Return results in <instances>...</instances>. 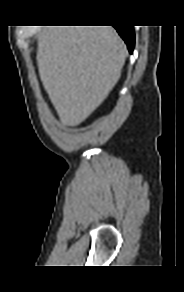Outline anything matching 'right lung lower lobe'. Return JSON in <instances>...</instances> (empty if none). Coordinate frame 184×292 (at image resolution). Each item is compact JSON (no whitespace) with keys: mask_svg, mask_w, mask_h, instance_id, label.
Masks as SVG:
<instances>
[{"mask_svg":"<svg viewBox=\"0 0 184 292\" xmlns=\"http://www.w3.org/2000/svg\"><path fill=\"white\" fill-rule=\"evenodd\" d=\"M119 33V35L123 38L125 43L128 46L129 52H133L134 44H135V34L133 26H114Z\"/></svg>","mask_w":184,"mask_h":292,"instance_id":"98d812e1","label":"right lung lower lobe"}]
</instances>
